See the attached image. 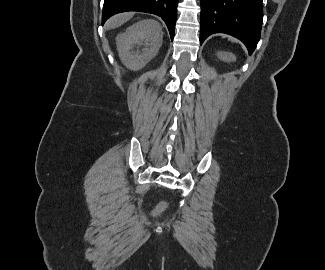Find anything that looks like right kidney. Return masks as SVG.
Returning a JSON list of instances; mask_svg holds the SVG:
<instances>
[{
	"instance_id": "right-kidney-1",
	"label": "right kidney",
	"mask_w": 325,
	"mask_h": 270,
	"mask_svg": "<svg viewBox=\"0 0 325 270\" xmlns=\"http://www.w3.org/2000/svg\"><path fill=\"white\" fill-rule=\"evenodd\" d=\"M116 41L122 63L131 70H140L157 55L163 34L158 22L142 20L120 33Z\"/></svg>"
}]
</instances>
